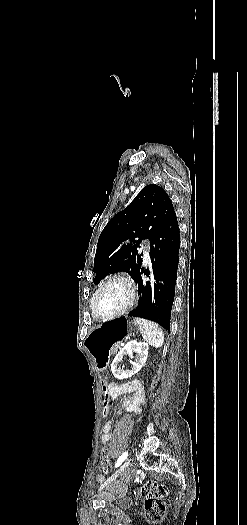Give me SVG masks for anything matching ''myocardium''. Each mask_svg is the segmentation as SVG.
Here are the masks:
<instances>
[{"mask_svg": "<svg viewBox=\"0 0 247 525\" xmlns=\"http://www.w3.org/2000/svg\"><path fill=\"white\" fill-rule=\"evenodd\" d=\"M116 280L124 282L129 287V298H128V300L122 306H120L119 308H117V309H115L113 311H110V312H101V311H99L96 308V305H95L96 297H97V294H98L99 290L105 284H107L109 282H112V281H116ZM134 299H135V283H134L133 278L130 275L126 274V273L118 272V273H114V274L108 276L107 278H105L104 280L99 282V284L96 286V288H95V290L93 292V295L91 297L90 307H91V311H92L93 315L96 318L102 319V317H115L117 315H121V314L125 313L131 307V305L133 304Z\"/></svg>", "mask_w": 247, "mask_h": 525, "instance_id": "f54148a6", "label": "myocardium"}]
</instances>
